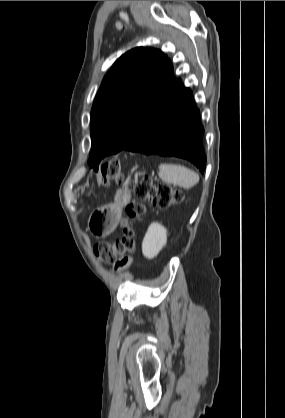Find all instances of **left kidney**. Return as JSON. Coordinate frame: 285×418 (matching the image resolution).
I'll list each match as a JSON object with an SVG mask.
<instances>
[{
  "mask_svg": "<svg viewBox=\"0 0 285 418\" xmlns=\"http://www.w3.org/2000/svg\"><path fill=\"white\" fill-rule=\"evenodd\" d=\"M167 242V230L158 222L149 225L142 242V253L148 259L156 257Z\"/></svg>",
  "mask_w": 285,
  "mask_h": 418,
  "instance_id": "1",
  "label": "left kidney"
}]
</instances>
